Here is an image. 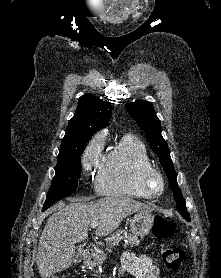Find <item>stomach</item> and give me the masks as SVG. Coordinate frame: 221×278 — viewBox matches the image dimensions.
<instances>
[{"mask_svg":"<svg viewBox=\"0 0 221 278\" xmlns=\"http://www.w3.org/2000/svg\"><path fill=\"white\" fill-rule=\"evenodd\" d=\"M154 225V215L152 213H137L130 222V229L134 236L144 237L148 235ZM106 259V255L99 254L91 265H100Z\"/></svg>","mask_w":221,"mask_h":278,"instance_id":"1","label":"stomach"}]
</instances>
